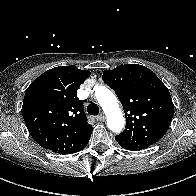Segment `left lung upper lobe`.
Segmentation results:
<instances>
[{
  "instance_id": "left-lung-upper-lobe-1",
  "label": "left lung upper lobe",
  "mask_w": 196,
  "mask_h": 196,
  "mask_svg": "<svg viewBox=\"0 0 196 196\" xmlns=\"http://www.w3.org/2000/svg\"><path fill=\"white\" fill-rule=\"evenodd\" d=\"M102 79L115 91L126 115L125 130L115 136L120 145L141 150L164 136L174 105L167 87L151 70L138 64L120 65L105 70Z\"/></svg>"
}]
</instances>
